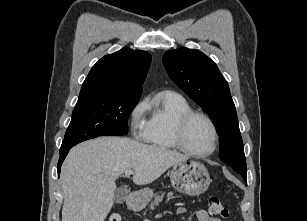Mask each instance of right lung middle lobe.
Masks as SVG:
<instances>
[{
  "instance_id": "right-lung-middle-lobe-1",
  "label": "right lung middle lobe",
  "mask_w": 307,
  "mask_h": 221,
  "mask_svg": "<svg viewBox=\"0 0 307 221\" xmlns=\"http://www.w3.org/2000/svg\"><path fill=\"white\" fill-rule=\"evenodd\" d=\"M141 95H105L78 101L60 152L98 136L128 133L127 120Z\"/></svg>"
}]
</instances>
